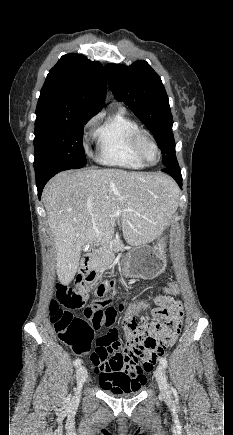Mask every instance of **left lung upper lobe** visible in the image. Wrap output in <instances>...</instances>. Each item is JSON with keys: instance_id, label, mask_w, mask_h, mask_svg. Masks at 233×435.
<instances>
[{"instance_id": "5c2ea615", "label": "left lung upper lobe", "mask_w": 233, "mask_h": 435, "mask_svg": "<svg viewBox=\"0 0 233 435\" xmlns=\"http://www.w3.org/2000/svg\"><path fill=\"white\" fill-rule=\"evenodd\" d=\"M105 72L113 95L123 101L153 134L163 164L177 165L169 99L159 75L143 60L130 66L107 64Z\"/></svg>"}]
</instances>
